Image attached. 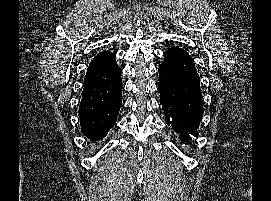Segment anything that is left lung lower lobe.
Wrapping results in <instances>:
<instances>
[{
  "mask_svg": "<svg viewBox=\"0 0 271 201\" xmlns=\"http://www.w3.org/2000/svg\"><path fill=\"white\" fill-rule=\"evenodd\" d=\"M160 104L171 125L183 142L196 137L203 115L200 79L192 57L183 49L173 47L164 53L159 70Z\"/></svg>",
  "mask_w": 271,
  "mask_h": 201,
  "instance_id": "left-lung-lower-lobe-1",
  "label": "left lung lower lobe"
}]
</instances>
